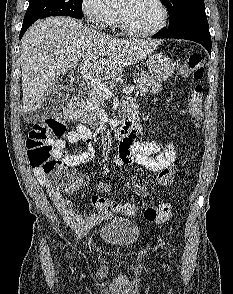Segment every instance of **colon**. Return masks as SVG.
<instances>
[{
  "mask_svg": "<svg viewBox=\"0 0 233 294\" xmlns=\"http://www.w3.org/2000/svg\"><path fill=\"white\" fill-rule=\"evenodd\" d=\"M181 73L195 81L189 94V111L196 123L203 119L204 88L201 80L204 75L202 56L199 53H190L181 67ZM66 127L59 115H52L33 125L26 140L27 155L31 166L39 169L50 180L51 185L61 192H73L78 188L74 174L65 168L64 159L58 155L55 140L65 133ZM122 211L127 215L138 212L136 205L126 203ZM147 220L158 224L166 223L171 216L168 204L151 206L143 211Z\"/></svg>",
  "mask_w": 233,
  "mask_h": 294,
  "instance_id": "colon-1",
  "label": "colon"
}]
</instances>
